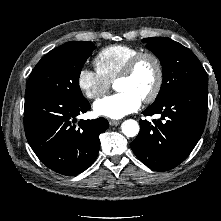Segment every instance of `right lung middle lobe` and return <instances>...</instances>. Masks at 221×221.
<instances>
[{
    "label": "right lung middle lobe",
    "instance_id": "obj_1",
    "mask_svg": "<svg viewBox=\"0 0 221 221\" xmlns=\"http://www.w3.org/2000/svg\"><path fill=\"white\" fill-rule=\"evenodd\" d=\"M95 48L90 41H70L51 50L33 69L26 91H40L72 101L84 100L79 76Z\"/></svg>",
    "mask_w": 221,
    "mask_h": 221
}]
</instances>
